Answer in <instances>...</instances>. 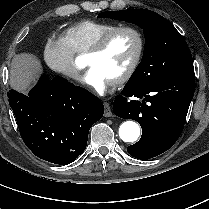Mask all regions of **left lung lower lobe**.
I'll use <instances>...</instances> for the list:
<instances>
[{
  "instance_id": "0a47b994",
  "label": "left lung lower lobe",
  "mask_w": 209,
  "mask_h": 209,
  "mask_svg": "<svg viewBox=\"0 0 209 209\" xmlns=\"http://www.w3.org/2000/svg\"><path fill=\"white\" fill-rule=\"evenodd\" d=\"M194 90V69L148 84L127 83L115 97L113 112L142 127L141 139L128 153L147 160L171 148L183 130Z\"/></svg>"
}]
</instances>
